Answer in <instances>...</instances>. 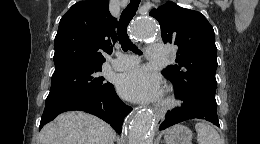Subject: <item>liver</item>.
<instances>
[{
    "label": "liver",
    "instance_id": "liver-1",
    "mask_svg": "<svg viewBox=\"0 0 260 144\" xmlns=\"http://www.w3.org/2000/svg\"><path fill=\"white\" fill-rule=\"evenodd\" d=\"M114 130L101 119L81 112L60 114L40 132V144H113Z\"/></svg>",
    "mask_w": 260,
    "mask_h": 144
}]
</instances>
